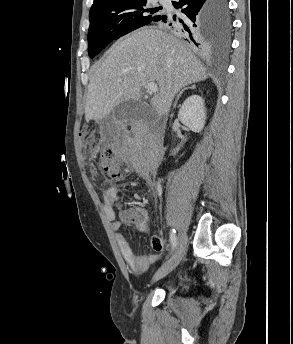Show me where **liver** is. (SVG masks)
Listing matches in <instances>:
<instances>
[{"mask_svg":"<svg viewBox=\"0 0 293 344\" xmlns=\"http://www.w3.org/2000/svg\"><path fill=\"white\" fill-rule=\"evenodd\" d=\"M208 76L201 61L172 34L155 27L138 30L114 45L93 75L85 119L98 122L118 104L139 100L147 82L157 83L159 91L150 104L165 115L182 88Z\"/></svg>","mask_w":293,"mask_h":344,"instance_id":"1","label":"liver"}]
</instances>
